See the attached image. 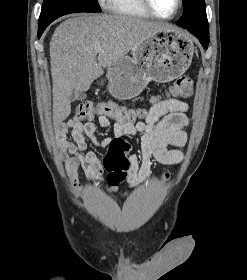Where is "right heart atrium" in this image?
I'll list each match as a JSON object with an SVG mask.
<instances>
[{"instance_id":"d8ad5b80","label":"right heart atrium","mask_w":247,"mask_h":280,"mask_svg":"<svg viewBox=\"0 0 247 280\" xmlns=\"http://www.w3.org/2000/svg\"><path fill=\"white\" fill-rule=\"evenodd\" d=\"M105 0H99V2L103 3Z\"/></svg>"}]
</instances>
